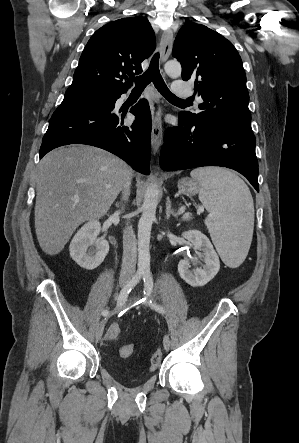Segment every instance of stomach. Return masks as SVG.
Segmentation results:
<instances>
[{"label": "stomach", "mask_w": 299, "mask_h": 443, "mask_svg": "<svg viewBox=\"0 0 299 443\" xmlns=\"http://www.w3.org/2000/svg\"><path fill=\"white\" fill-rule=\"evenodd\" d=\"M178 190L184 195L192 196L200 191V185L195 179L182 178L178 181Z\"/></svg>", "instance_id": "stomach-1"}]
</instances>
